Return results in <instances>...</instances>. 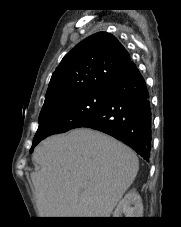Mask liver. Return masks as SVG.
<instances>
[{
    "instance_id": "obj_1",
    "label": "liver",
    "mask_w": 181,
    "mask_h": 227,
    "mask_svg": "<svg viewBox=\"0 0 181 227\" xmlns=\"http://www.w3.org/2000/svg\"><path fill=\"white\" fill-rule=\"evenodd\" d=\"M33 159L40 217H110L139 170L131 148L88 128L46 138Z\"/></svg>"
}]
</instances>
